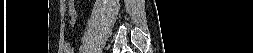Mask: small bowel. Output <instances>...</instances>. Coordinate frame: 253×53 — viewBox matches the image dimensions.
Masks as SVG:
<instances>
[{
	"instance_id": "small-bowel-1",
	"label": "small bowel",
	"mask_w": 253,
	"mask_h": 53,
	"mask_svg": "<svg viewBox=\"0 0 253 53\" xmlns=\"http://www.w3.org/2000/svg\"><path fill=\"white\" fill-rule=\"evenodd\" d=\"M68 12H69L70 23L72 25H74L75 22H76V19H77V12H76V7H75V1H69ZM64 49L68 53L73 52V45H72V43L71 42H65Z\"/></svg>"
}]
</instances>
